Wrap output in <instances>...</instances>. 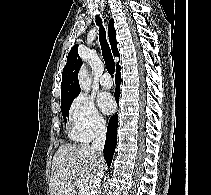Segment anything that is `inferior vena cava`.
Here are the masks:
<instances>
[{
    "instance_id": "602c4592",
    "label": "inferior vena cava",
    "mask_w": 211,
    "mask_h": 195,
    "mask_svg": "<svg viewBox=\"0 0 211 195\" xmlns=\"http://www.w3.org/2000/svg\"><path fill=\"white\" fill-rule=\"evenodd\" d=\"M105 139H106V125L105 123H99L96 127L95 139L93 140L91 147V149L98 154L99 162L100 160L103 159L102 151L104 148ZM98 169L99 171L93 181L89 195H99L100 182L103 177V168L101 167V165H99V163H98Z\"/></svg>"
}]
</instances>
